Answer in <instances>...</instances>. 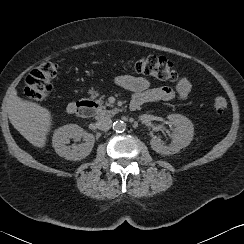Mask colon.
Here are the masks:
<instances>
[{
  "label": "colon",
  "mask_w": 244,
  "mask_h": 244,
  "mask_svg": "<svg viewBox=\"0 0 244 244\" xmlns=\"http://www.w3.org/2000/svg\"><path fill=\"white\" fill-rule=\"evenodd\" d=\"M125 67L132 72L149 75L163 81L176 82L180 79L177 70L164 57H142L127 63ZM57 72L58 67L53 62H44L32 69L25 79V95L35 101L45 99L52 91V81ZM213 106L217 116L224 114L228 109V103L223 97L215 98Z\"/></svg>",
  "instance_id": "5ec220e1"
}]
</instances>
